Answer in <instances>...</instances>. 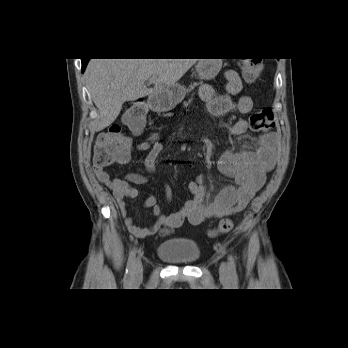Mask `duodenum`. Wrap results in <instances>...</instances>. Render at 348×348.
<instances>
[{"label":"duodenum","instance_id":"obj_1","mask_svg":"<svg viewBox=\"0 0 348 348\" xmlns=\"http://www.w3.org/2000/svg\"><path fill=\"white\" fill-rule=\"evenodd\" d=\"M158 100H160L159 97L156 96V95H153V96L151 97V105L154 106L155 103H156Z\"/></svg>","mask_w":348,"mask_h":348}]
</instances>
